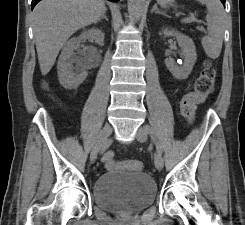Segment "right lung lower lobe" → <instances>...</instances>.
I'll use <instances>...</instances> for the list:
<instances>
[{
  "instance_id": "1",
  "label": "right lung lower lobe",
  "mask_w": 245,
  "mask_h": 225,
  "mask_svg": "<svg viewBox=\"0 0 245 225\" xmlns=\"http://www.w3.org/2000/svg\"><path fill=\"white\" fill-rule=\"evenodd\" d=\"M41 0H32V3H31V7L32 9L34 8V6ZM110 1H113V2H117L118 0H110Z\"/></svg>"
}]
</instances>
